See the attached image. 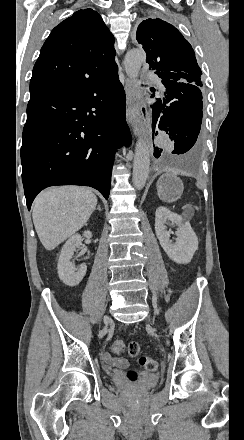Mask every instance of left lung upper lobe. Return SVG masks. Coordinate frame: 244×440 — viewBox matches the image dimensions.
Listing matches in <instances>:
<instances>
[{"mask_svg": "<svg viewBox=\"0 0 244 440\" xmlns=\"http://www.w3.org/2000/svg\"><path fill=\"white\" fill-rule=\"evenodd\" d=\"M137 41L147 54L149 69L164 80L201 85V69L189 42L173 25L149 18L140 23Z\"/></svg>", "mask_w": 244, "mask_h": 440, "instance_id": "obj_1", "label": "left lung upper lobe"}]
</instances>
